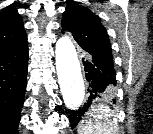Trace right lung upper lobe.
I'll list each match as a JSON object with an SVG mask.
<instances>
[{"label": "right lung upper lobe", "instance_id": "1", "mask_svg": "<svg viewBox=\"0 0 153 134\" xmlns=\"http://www.w3.org/2000/svg\"><path fill=\"white\" fill-rule=\"evenodd\" d=\"M27 40L21 16L14 8L0 13V55L14 49Z\"/></svg>", "mask_w": 153, "mask_h": 134}]
</instances>
